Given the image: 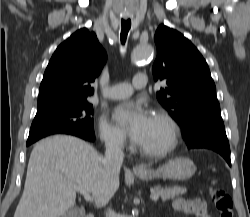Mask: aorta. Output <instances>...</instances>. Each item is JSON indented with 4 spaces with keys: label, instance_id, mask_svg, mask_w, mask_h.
I'll use <instances>...</instances> for the list:
<instances>
[{
    "label": "aorta",
    "instance_id": "1",
    "mask_svg": "<svg viewBox=\"0 0 250 217\" xmlns=\"http://www.w3.org/2000/svg\"><path fill=\"white\" fill-rule=\"evenodd\" d=\"M153 47L148 44L138 45L132 53V61L138 62L149 59L153 56Z\"/></svg>",
    "mask_w": 250,
    "mask_h": 217
}]
</instances>
